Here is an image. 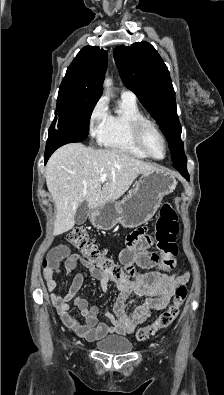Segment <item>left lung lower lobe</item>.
Returning <instances> with one entry per match:
<instances>
[{
    "label": "left lung lower lobe",
    "mask_w": 224,
    "mask_h": 395,
    "mask_svg": "<svg viewBox=\"0 0 224 395\" xmlns=\"http://www.w3.org/2000/svg\"><path fill=\"white\" fill-rule=\"evenodd\" d=\"M187 160L184 157L182 160L173 163V166L187 179L189 180V175L187 172Z\"/></svg>",
    "instance_id": "0a47b994"
}]
</instances>
